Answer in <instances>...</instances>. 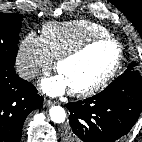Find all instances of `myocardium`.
Wrapping results in <instances>:
<instances>
[{
	"label": "myocardium",
	"mask_w": 142,
	"mask_h": 142,
	"mask_svg": "<svg viewBox=\"0 0 142 142\" xmlns=\"http://www.w3.org/2000/svg\"><path fill=\"white\" fill-rule=\"evenodd\" d=\"M101 43H111L117 48V58L112 66V68L96 83L84 88V89H70V93L76 97H89L92 96L102 89H104L116 76L118 73L122 61H123V48L115 38L111 36H101L89 39L80 45L76 46L75 48L61 54L59 57L56 58L54 68L58 72L60 66L69 60H72L83 53L87 52L93 46L101 44Z\"/></svg>",
	"instance_id": "1"
}]
</instances>
